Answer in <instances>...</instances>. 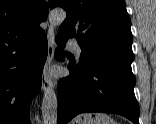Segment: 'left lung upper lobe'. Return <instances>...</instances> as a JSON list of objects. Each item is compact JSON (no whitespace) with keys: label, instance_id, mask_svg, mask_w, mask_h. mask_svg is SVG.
<instances>
[{"label":"left lung upper lobe","instance_id":"5c2ea615","mask_svg":"<svg viewBox=\"0 0 156 124\" xmlns=\"http://www.w3.org/2000/svg\"><path fill=\"white\" fill-rule=\"evenodd\" d=\"M49 6L67 13L58 34L77 39L79 67L112 60L131 69L133 38L124 0H49Z\"/></svg>","mask_w":156,"mask_h":124}]
</instances>
